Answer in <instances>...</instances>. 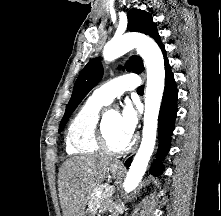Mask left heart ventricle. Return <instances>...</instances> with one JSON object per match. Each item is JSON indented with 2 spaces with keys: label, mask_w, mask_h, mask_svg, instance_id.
Returning a JSON list of instances; mask_svg holds the SVG:
<instances>
[{
  "label": "left heart ventricle",
  "mask_w": 221,
  "mask_h": 216,
  "mask_svg": "<svg viewBox=\"0 0 221 216\" xmlns=\"http://www.w3.org/2000/svg\"><path fill=\"white\" fill-rule=\"evenodd\" d=\"M105 130L109 142L113 146L125 145L130 140L122 131L119 114L115 111H110L106 114Z\"/></svg>",
  "instance_id": "left-heart-ventricle-1"
}]
</instances>
